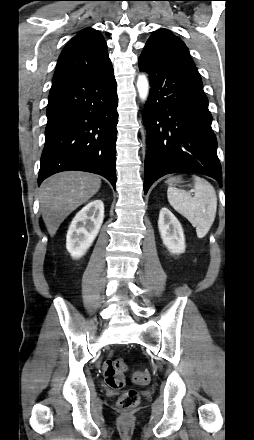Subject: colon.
I'll return each instance as SVG.
<instances>
[{
    "label": "colon",
    "mask_w": 254,
    "mask_h": 440,
    "mask_svg": "<svg viewBox=\"0 0 254 440\" xmlns=\"http://www.w3.org/2000/svg\"><path fill=\"white\" fill-rule=\"evenodd\" d=\"M127 363L124 359L118 358L113 362V371L119 375L124 374L127 371ZM133 381L137 384H147L150 381V375L148 372H138L133 375ZM124 381L119 378L114 383L115 387H122ZM139 403V395L135 390H129L124 393L119 401L118 405L123 410H131L135 408Z\"/></svg>",
    "instance_id": "5ec220e1"
}]
</instances>
